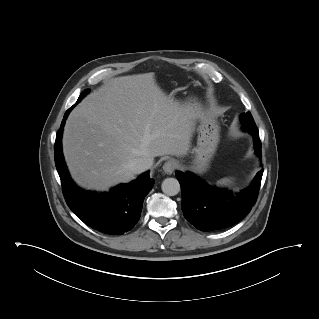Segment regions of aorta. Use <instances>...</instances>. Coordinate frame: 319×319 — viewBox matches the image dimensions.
<instances>
[{
	"label": "aorta",
	"mask_w": 319,
	"mask_h": 319,
	"mask_svg": "<svg viewBox=\"0 0 319 319\" xmlns=\"http://www.w3.org/2000/svg\"><path fill=\"white\" fill-rule=\"evenodd\" d=\"M161 188L164 194L168 196H175L180 191V184L175 178H166L162 182Z\"/></svg>",
	"instance_id": "762f6f07"
}]
</instances>
